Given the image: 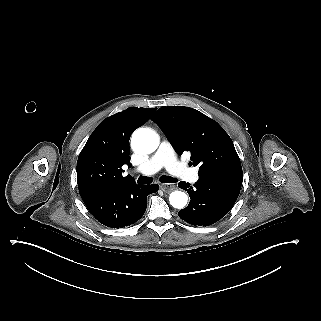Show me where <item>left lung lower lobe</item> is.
Returning a JSON list of instances; mask_svg holds the SVG:
<instances>
[{
	"label": "left lung lower lobe",
	"instance_id": "left-lung-lower-lobe-1",
	"mask_svg": "<svg viewBox=\"0 0 321 321\" xmlns=\"http://www.w3.org/2000/svg\"><path fill=\"white\" fill-rule=\"evenodd\" d=\"M242 180V169H224L199 175L193 186L179 182L178 186L187 191L191 199L189 205L178 212L179 217L194 226L217 222L233 207Z\"/></svg>",
	"mask_w": 321,
	"mask_h": 321
}]
</instances>
